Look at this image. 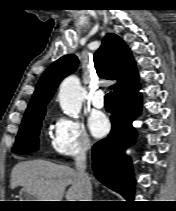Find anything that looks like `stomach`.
<instances>
[{"mask_svg": "<svg viewBox=\"0 0 176 211\" xmlns=\"http://www.w3.org/2000/svg\"><path fill=\"white\" fill-rule=\"evenodd\" d=\"M20 198L22 200L20 201H39L31 192H29L27 189L22 188L19 192Z\"/></svg>", "mask_w": 176, "mask_h": 211, "instance_id": "0dacf381", "label": "stomach"}]
</instances>
